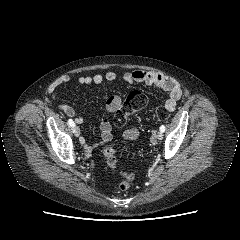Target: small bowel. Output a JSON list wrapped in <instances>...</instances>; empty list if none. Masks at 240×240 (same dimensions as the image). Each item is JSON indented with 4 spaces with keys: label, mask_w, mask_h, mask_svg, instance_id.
<instances>
[{
    "label": "small bowel",
    "mask_w": 240,
    "mask_h": 240,
    "mask_svg": "<svg viewBox=\"0 0 240 240\" xmlns=\"http://www.w3.org/2000/svg\"><path fill=\"white\" fill-rule=\"evenodd\" d=\"M117 79V74L113 71H107L104 74H94L92 76H80L78 82L83 85L100 84L103 81L113 82ZM123 81L128 84H146L158 87L168 93V98L165 102V107L168 111H174L178 101L182 95V90L179 83L173 78L161 73L145 70H135L126 72L122 76ZM71 78L68 75L58 77L51 85L49 93L53 99H56V89L59 86L69 83ZM122 106V98L117 95L110 96L105 101V109L109 113H115ZM59 109L67 116L74 119L77 124L83 122V117L77 115L75 109L67 104H59ZM101 140L96 144H89L85 138H81L80 142L86 154H91L98 147L103 146L112 139V125L108 119H103L100 123ZM140 132L136 128H129L123 132V137L127 140H136Z\"/></svg>",
    "instance_id": "small-bowel-1"
}]
</instances>
